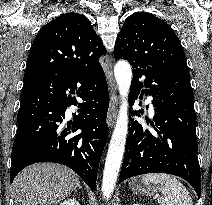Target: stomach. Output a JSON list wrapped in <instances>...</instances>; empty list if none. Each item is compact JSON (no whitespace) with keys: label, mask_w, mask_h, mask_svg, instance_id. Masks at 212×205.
Instances as JSON below:
<instances>
[{"label":"stomach","mask_w":212,"mask_h":205,"mask_svg":"<svg viewBox=\"0 0 212 205\" xmlns=\"http://www.w3.org/2000/svg\"><path fill=\"white\" fill-rule=\"evenodd\" d=\"M129 188L134 194L141 196H151L156 194L159 190L157 185L150 184L147 186L140 179H135L129 183Z\"/></svg>","instance_id":"obj_1"}]
</instances>
